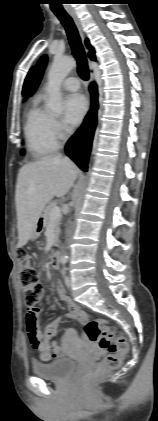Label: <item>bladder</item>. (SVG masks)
<instances>
[{
  "instance_id": "bladder-1",
  "label": "bladder",
  "mask_w": 158,
  "mask_h": 421,
  "mask_svg": "<svg viewBox=\"0 0 158 421\" xmlns=\"http://www.w3.org/2000/svg\"><path fill=\"white\" fill-rule=\"evenodd\" d=\"M76 365L74 359L60 357L51 362H34L32 369L34 374L38 377L51 380H63L72 374Z\"/></svg>"
}]
</instances>
